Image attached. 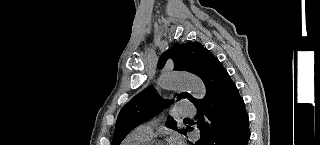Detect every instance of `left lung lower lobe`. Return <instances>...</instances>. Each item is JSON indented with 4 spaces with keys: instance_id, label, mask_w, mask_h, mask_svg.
I'll use <instances>...</instances> for the list:
<instances>
[{
    "instance_id": "0a47b994",
    "label": "left lung lower lobe",
    "mask_w": 320,
    "mask_h": 145,
    "mask_svg": "<svg viewBox=\"0 0 320 145\" xmlns=\"http://www.w3.org/2000/svg\"><path fill=\"white\" fill-rule=\"evenodd\" d=\"M201 79L206 95L193 103L197 109L194 124L201 137L192 145H247L250 131L244 101L218 59L205 69ZM192 129L187 127L186 133Z\"/></svg>"
}]
</instances>
